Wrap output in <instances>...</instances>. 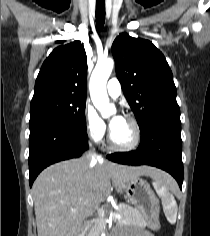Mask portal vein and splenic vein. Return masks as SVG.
<instances>
[{"instance_id": "obj_1", "label": "portal vein and splenic vein", "mask_w": 210, "mask_h": 236, "mask_svg": "<svg viewBox=\"0 0 210 236\" xmlns=\"http://www.w3.org/2000/svg\"><path fill=\"white\" fill-rule=\"evenodd\" d=\"M97 210H98V212H99L100 214L103 213L102 209L97 208ZM113 218L116 219V220H119V219L122 218V216H121L120 214H118V213H115V214H113Z\"/></svg>"}]
</instances>
